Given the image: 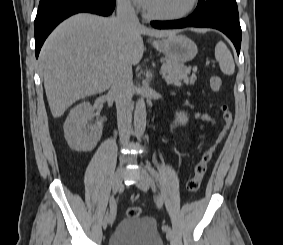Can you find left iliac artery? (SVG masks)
<instances>
[{
	"label": "left iliac artery",
	"instance_id": "44dca946",
	"mask_svg": "<svg viewBox=\"0 0 283 245\" xmlns=\"http://www.w3.org/2000/svg\"><path fill=\"white\" fill-rule=\"evenodd\" d=\"M146 169L148 170V172L150 173V175L152 176V178L150 177L151 183L154 186V179L156 181H159V175L157 173V171L150 165V164H146ZM163 205V196L159 195L158 200H157V206L158 208H161ZM162 230L165 232L171 231V228L169 225L164 224L162 225Z\"/></svg>",
	"mask_w": 283,
	"mask_h": 245
}]
</instances>
